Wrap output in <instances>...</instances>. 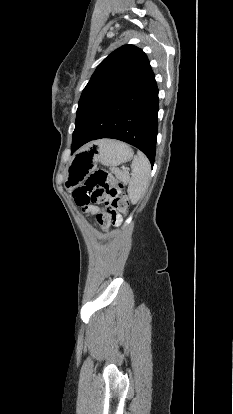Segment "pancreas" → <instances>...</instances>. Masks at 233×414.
<instances>
[{"mask_svg": "<svg viewBox=\"0 0 233 414\" xmlns=\"http://www.w3.org/2000/svg\"><path fill=\"white\" fill-rule=\"evenodd\" d=\"M115 173H116L117 177H119L120 179H124L126 181L129 179V175H128L127 171H124V172L116 171Z\"/></svg>", "mask_w": 233, "mask_h": 414, "instance_id": "cf45deb5", "label": "pancreas"}]
</instances>
